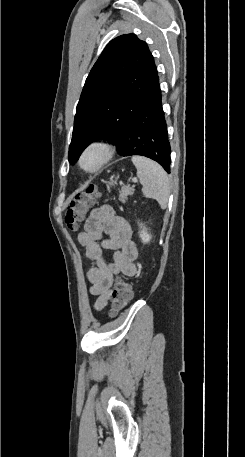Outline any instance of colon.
<instances>
[{
  "instance_id": "1",
  "label": "colon",
  "mask_w": 245,
  "mask_h": 457,
  "mask_svg": "<svg viewBox=\"0 0 245 457\" xmlns=\"http://www.w3.org/2000/svg\"><path fill=\"white\" fill-rule=\"evenodd\" d=\"M98 194V188L91 185L87 190L78 194L67 206L65 211V222L71 230H75L84 217L85 212L93 203ZM133 291L131 284L119 279L111 295V314L120 312L132 299Z\"/></svg>"
}]
</instances>
